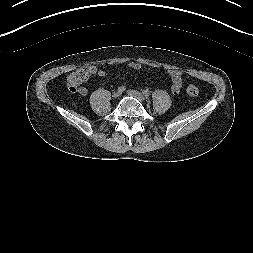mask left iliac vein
Segmentation results:
<instances>
[{
	"label": "left iliac vein",
	"instance_id": "1",
	"mask_svg": "<svg viewBox=\"0 0 253 253\" xmlns=\"http://www.w3.org/2000/svg\"><path fill=\"white\" fill-rule=\"evenodd\" d=\"M128 94L131 95L132 97L138 99L139 101H144L145 97L138 91L136 90H129Z\"/></svg>",
	"mask_w": 253,
	"mask_h": 253
}]
</instances>
